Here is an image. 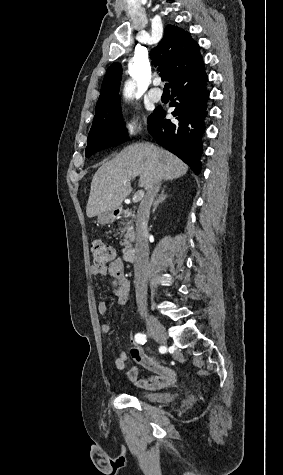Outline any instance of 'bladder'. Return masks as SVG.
Returning <instances> with one entry per match:
<instances>
[{"label": "bladder", "mask_w": 283, "mask_h": 475, "mask_svg": "<svg viewBox=\"0 0 283 475\" xmlns=\"http://www.w3.org/2000/svg\"><path fill=\"white\" fill-rule=\"evenodd\" d=\"M135 396L143 401H150V402H161L165 399H174L176 394L172 392H167L165 394L157 393H145V392H137Z\"/></svg>", "instance_id": "1"}]
</instances>
